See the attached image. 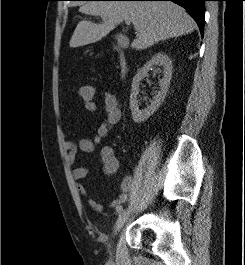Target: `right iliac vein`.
<instances>
[{"label": "right iliac vein", "instance_id": "right-iliac-vein-1", "mask_svg": "<svg viewBox=\"0 0 245 265\" xmlns=\"http://www.w3.org/2000/svg\"><path fill=\"white\" fill-rule=\"evenodd\" d=\"M130 209L124 210L118 217L114 227H113V234L115 235L117 232L120 231V229L124 226V224L127 222L129 216H130ZM109 252L110 255H112V249L111 245L109 244Z\"/></svg>", "mask_w": 245, "mask_h": 265}]
</instances>
